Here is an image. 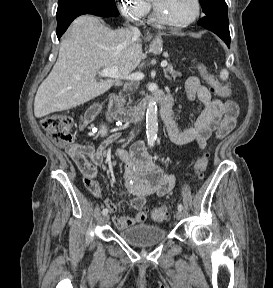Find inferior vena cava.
Listing matches in <instances>:
<instances>
[{
	"label": "inferior vena cava",
	"instance_id": "602c4592",
	"mask_svg": "<svg viewBox=\"0 0 273 288\" xmlns=\"http://www.w3.org/2000/svg\"><path fill=\"white\" fill-rule=\"evenodd\" d=\"M130 28H131V31H132L134 36H139L140 35V31H139L138 28H136V27H130ZM128 87H130V84L125 83L124 90L128 89Z\"/></svg>",
	"mask_w": 273,
	"mask_h": 288
}]
</instances>
